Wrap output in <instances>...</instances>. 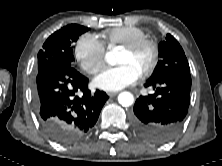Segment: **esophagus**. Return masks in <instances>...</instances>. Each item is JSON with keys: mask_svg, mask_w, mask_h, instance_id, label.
Instances as JSON below:
<instances>
[{"mask_svg": "<svg viewBox=\"0 0 222 166\" xmlns=\"http://www.w3.org/2000/svg\"><path fill=\"white\" fill-rule=\"evenodd\" d=\"M118 94V92H108L107 93V95L109 96V97H114V96H116Z\"/></svg>", "mask_w": 222, "mask_h": 166, "instance_id": "obj_1", "label": "esophagus"}]
</instances>
